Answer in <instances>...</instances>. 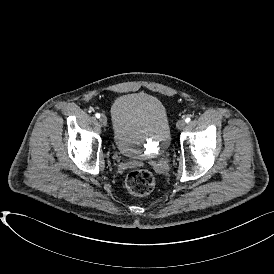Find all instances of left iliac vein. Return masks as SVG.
Masks as SVG:
<instances>
[{
  "label": "left iliac vein",
  "instance_id": "4c4485c4",
  "mask_svg": "<svg viewBox=\"0 0 274 274\" xmlns=\"http://www.w3.org/2000/svg\"><path fill=\"white\" fill-rule=\"evenodd\" d=\"M185 126H186V122L183 119L178 120L176 123V127L180 130L183 129Z\"/></svg>",
  "mask_w": 274,
  "mask_h": 274
}]
</instances>
